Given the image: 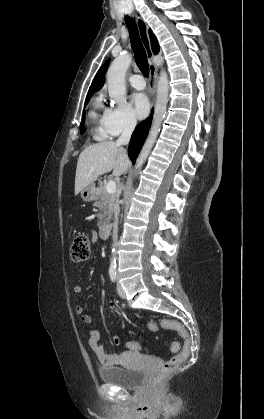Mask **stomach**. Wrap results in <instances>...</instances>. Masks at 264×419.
Listing matches in <instances>:
<instances>
[{
    "mask_svg": "<svg viewBox=\"0 0 264 419\" xmlns=\"http://www.w3.org/2000/svg\"><path fill=\"white\" fill-rule=\"evenodd\" d=\"M98 196V189L95 187V184H90L86 186L81 191V198L85 202L94 201Z\"/></svg>",
    "mask_w": 264,
    "mask_h": 419,
    "instance_id": "obj_1",
    "label": "stomach"
}]
</instances>
